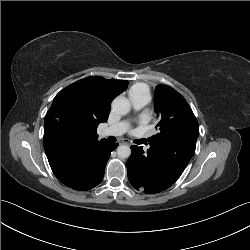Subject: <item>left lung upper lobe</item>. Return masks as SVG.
<instances>
[{"mask_svg": "<svg viewBox=\"0 0 250 250\" xmlns=\"http://www.w3.org/2000/svg\"><path fill=\"white\" fill-rule=\"evenodd\" d=\"M155 112L159 114V132L149 141L162 143L191 137L197 140L199 125L184 97L167 85H158L155 90Z\"/></svg>", "mask_w": 250, "mask_h": 250, "instance_id": "left-lung-upper-lobe-1", "label": "left lung upper lobe"}]
</instances>
